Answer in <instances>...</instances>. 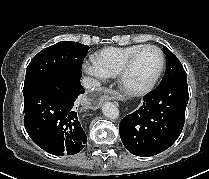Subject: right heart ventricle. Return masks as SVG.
Instances as JSON below:
<instances>
[{"label":"right heart ventricle","instance_id":"1","mask_svg":"<svg viewBox=\"0 0 209 179\" xmlns=\"http://www.w3.org/2000/svg\"><path fill=\"white\" fill-rule=\"evenodd\" d=\"M143 44L107 47L93 55V64L104 77H116L128 58Z\"/></svg>","mask_w":209,"mask_h":179}]
</instances>
